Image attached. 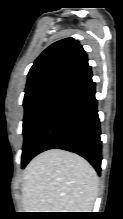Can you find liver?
Wrapping results in <instances>:
<instances>
[{
  "mask_svg": "<svg viewBox=\"0 0 123 219\" xmlns=\"http://www.w3.org/2000/svg\"><path fill=\"white\" fill-rule=\"evenodd\" d=\"M22 202L26 212H91L98 176L81 156L60 149L33 158L24 170Z\"/></svg>",
  "mask_w": 123,
  "mask_h": 219,
  "instance_id": "6515ba94",
  "label": "liver"
}]
</instances>
